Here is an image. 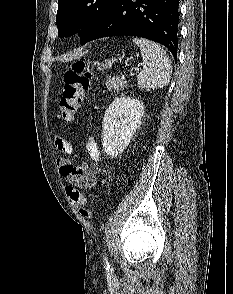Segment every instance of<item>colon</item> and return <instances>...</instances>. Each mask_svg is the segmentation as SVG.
Masks as SVG:
<instances>
[{
    "instance_id": "colon-1",
    "label": "colon",
    "mask_w": 233,
    "mask_h": 294,
    "mask_svg": "<svg viewBox=\"0 0 233 294\" xmlns=\"http://www.w3.org/2000/svg\"><path fill=\"white\" fill-rule=\"evenodd\" d=\"M91 74L86 71L83 61H76L64 74V88L59 100L60 117L64 120H72L78 112L83 95L88 89ZM70 202L75 206H83L89 202L88 195L75 187L66 189ZM83 216L89 217L90 211L80 209Z\"/></svg>"
}]
</instances>
